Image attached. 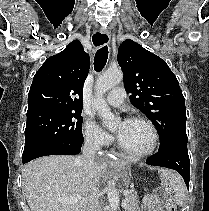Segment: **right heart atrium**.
Returning <instances> with one entry per match:
<instances>
[{"instance_id": "obj_1", "label": "right heart atrium", "mask_w": 209, "mask_h": 211, "mask_svg": "<svg viewBox=\"0 0 209 211\" xmlns=\"http://www.w3.org/2000/svg\"><path fill=\"white\" fill-rule=\"evenodd\" d=\"M83 133L85 141L93 146H104L111 142V136L90 118L84 122Z\"/></svg>"}]
</instances>
